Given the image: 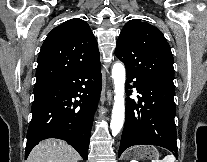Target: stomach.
Here are the masks:
<instances>
[{"label": "stomach", "mask_w": 207, "mask_h": 162, "mask_svg": "<svg viewBox=\"0 0 207 162\" xmlns=\"http://www.w3.org/2000/svg\"><path fill=\"white\" fill-rule=\"evenodd\" d=\"M131 157L140 160L156 159L159 157V153L152 145H140L130 149L124 155L125 159H129Z\"/></svg>", "instance_id": "0dacf381"}]
</instances>
